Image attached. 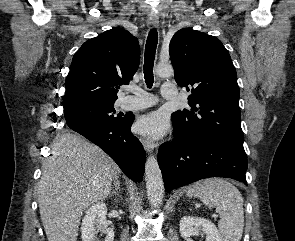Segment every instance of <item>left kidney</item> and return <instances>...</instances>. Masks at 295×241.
<instances>
[{
    "label": "left kidney",
    "instance_id": "left-kidney-1",
    "mask_svg": "<svg viewBox=\"0 0 295 241\" xmlns=\"http://www.w3.org/2000/svg\"><path fill=\"white\" fill-rule=\"evenodd\" d=\"M206 234V241H222L216 226L209 220L199 217L184 216L180 220V234L183 238Z\"/></svg>",
    "mask_w": 295,
    "mask_h": 241
}]
</instances>
